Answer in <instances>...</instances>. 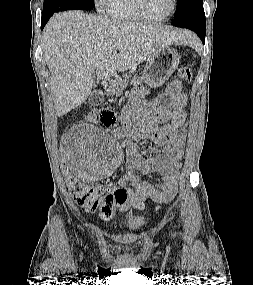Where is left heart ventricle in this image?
Listing matches in <instances>:
<instances>
[{"label":"left heart ventricle","instance_id":"obj_1","mask_svg":"<svg viewBox=\"0 0 253 285\" xmlns=\"http://www.w3.org/2000/svg\"><path fill=\"white\" fill-rule=\"evenodd\" d=\"M146 12L152 17L167 15L173 5V0H144Z\"/></svg>","mask_w":253,"mask_h":285}]
</instances>
